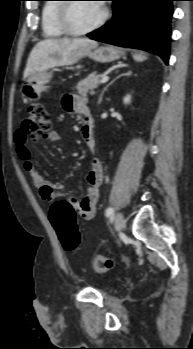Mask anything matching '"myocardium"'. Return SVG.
<instances>
[{"instance_id":"obj_1","label":"myocardium","mask_w":193,"mask_h":349,"mask_svg":"<svg viewBox=\"0 0 193 349\" xmlns=\"http://www.w3.org/2000/svg\"><path fill=\"white\" fill-rule=\"evenodd\" d=\"M73 4L74 2H64L63 4H60L58 8L57 23L60 29L67 35L82 36L91 33L103 26L109 17V11L106 8H103V13L101 17L93 25L85 29H75L70 22V9L73 6Z\"/></svg>"}]
</instances>
